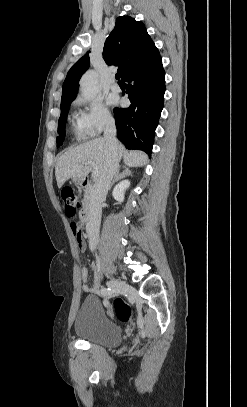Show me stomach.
Instances as JSON below:
<instances>
[{"label": "stomach", "instance_id": "stomach-1", "mask_svg": "<svg viewBox=\"0 0 247 407\" xmlns=\"http://www.w3.org/2000/svg\"><path fill=\"white\" fill-rule=\"evenodd\" d=\"M73 182H74L76 185H81L82 182H83V179H82V178H73Z\"/></svg>", "mask_w": 247, "mask_h": 407}]
</instances>
